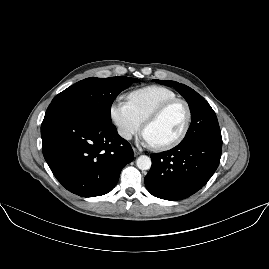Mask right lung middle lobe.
I'll return each mask as SVG.
<instances>
[{
	"label": "right lung middle lobe",
	"mask_w": 269,
	"mask_h": 269,
	"mask_svg": "<svg viewBox=\"0 0 269 269\" xmlns=\"http://www.w3.org/2000/svg\"><path fill=\"white\" fill-rule=\"evenodd\" d=\"M138 79L131 77L87 78L54 97L51 105L61 104L86 111L111 122V105L116 96Z\"/></svg>",
	"instance_id": "obj_1"
}]
</instances>
